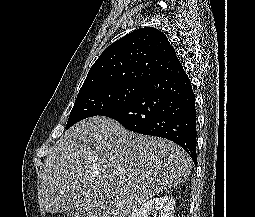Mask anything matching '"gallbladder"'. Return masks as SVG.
I'll list each match as a JSON object with an SVG mask.
<instances>
[{"label":"gallbladder","mask_w":255,"mask_h":217,"mask_svg":"<svg viewBox=\"0 0 255 217\" xmlns=\"http://www.w3.org/2000/svg\"><path fill=\"white\" fill-rule=\"evenodd\" d=\"M68 217H87L86 211L83 209H70L67 211Z\"/></svg>","instance_id":"1"}]
</instances>
